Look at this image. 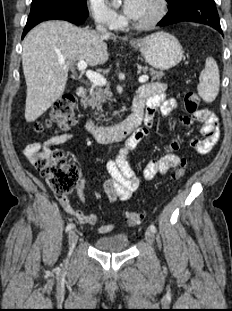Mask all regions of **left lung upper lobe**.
Wrapping results in <instances>:
<instances>
[{"mask_svg": "<svg viewBox=\"0 0 232 311\" xmlns=\"http://www.w3.org/2000/svg\"><path fill=\"white\" fill-rule=\"evenodd\" d=\"M169 4H171L172 3V1H174V0H166Z\"/></svg>", "mask_w": 232, "mask_h": 311, "instance_id": "left-lung-upper-lobe-1", "label": "left lung upper lobe"}]
</instances>
